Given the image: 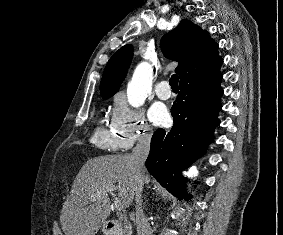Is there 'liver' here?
<instances>
[{"instance_id": "obj_1", "label": "liver", "mask_w": 283, "mask_h": 235, "mask_svg": "<svg viewBox=\"0 0 283 235\" xmlns=\"http://www.w3.org/2000/svg\"><path fill=\"white\" fill-rule=\"evenodd\" d=\"M144 173V183L149 182ZM113 185L128 208L135 196V166L128 154L92 158L83 165L63 204L60 222L65 235H95L110 215L106 187Z\"/></svg>"}]
</instances>
